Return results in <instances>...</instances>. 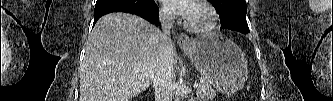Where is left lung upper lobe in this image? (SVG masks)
Returning a JSON list of instances; mask_svg holds the SVG:
<instances>
[{
  "label": "left lung upper lobe",
  "mask_w": 333,
  "mask_h": 101,
  "mask_svg": "<svg viewBox=\"0 0 333 101\" xmlns=\"http://www.w3.org/2000/svg\"><path fill=\"white\" fill-rule=\"evenodd\" d=\"M215 7L217 13L219 14L220 20L224 24H232L236 29L230 28L231 30L237 31V28L245 26L246 21V6H240L237 0H208Z\"/></svg>",
  "instance_id": "1"
}]
</instances>
